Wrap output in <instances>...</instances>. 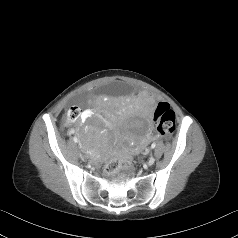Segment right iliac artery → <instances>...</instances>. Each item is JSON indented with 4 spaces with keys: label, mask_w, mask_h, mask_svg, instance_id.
I'll use <instances>...</instances> for the list:
<instances>
[{
    "label": "right iliac artery",
    "mask_w": 238,
    "mask_h": 238,
    "mask_svg": "<svg viewBox=\"0 0 238 238\" xmlns=\"http://www.w3.org/2000/svg\"><path fill=\"white\" fill-rule=\"evenodd\" d=\"M73 140L75 141V142H78V138L75 136V137H73Z\"/></svg>",
    "instance_id": "1"
}]
</instances>
